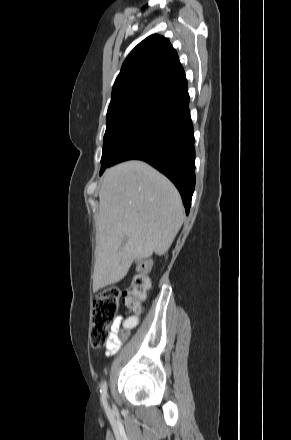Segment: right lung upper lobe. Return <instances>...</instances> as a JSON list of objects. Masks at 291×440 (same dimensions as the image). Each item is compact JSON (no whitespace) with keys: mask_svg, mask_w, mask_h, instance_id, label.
I'll use <instances>...</instances> for the list:
<instances>
[{"mask_svg":"<svg viewBox=\"0 0 291 440\" xmlns=\"http://www.w3.org/2000/svg\"><path fill=\"white\" fill-rule=\"evenodd\" d=\"M183 79L184 69L168 39L151 35L124 61L113 85L110 104L136 97L156 98Z\"/></svg>","mask_w":291,"mask_h":440,"instance_id":"right-lung-upper-lobe-1","label":"right lung upper lobe"}]
</instances>
